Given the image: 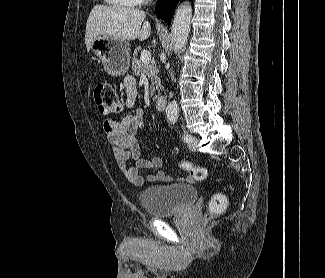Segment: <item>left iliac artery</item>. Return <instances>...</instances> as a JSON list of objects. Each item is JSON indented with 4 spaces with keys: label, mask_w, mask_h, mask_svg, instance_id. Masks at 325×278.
<instances>
[{
    "label": "left iliac artery",
    "mask_w": 325,
    "mask_h": 278,
    "mask_svg": "<svg viewBox=\"0 0 325 278\" xmlns=\"http://www.w3.org/2000/svg\"><path fill=\"white\" fill-rule=\"evenodd\" d=\"M193 140V137L191 135H184L183 136V141L186 142V143H189V142H192Z\"/></svg>",
    "instance_id": "left-iliac-artery-1"
}]
</instances>
